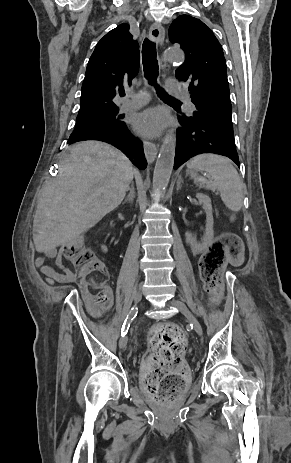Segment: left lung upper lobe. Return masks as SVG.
<instances>
[{"instance_id": "1", "label": "left lung upper lobe", "mask_w": 291, "mask_h": 463, "mask_svg": "<svg viewBox=\"0 0 291 463\" xmlns=\"http://www.w3.org/2000/svg\"><path fill=\"white\" fill-rule=\"evenodd\" d=\"M169 39L186 55L176 76L189 86L196 106L192 117L233 128L226 61L213 32L199 19L181 15L170 26Z\"/></svg>"}]
</instances>
